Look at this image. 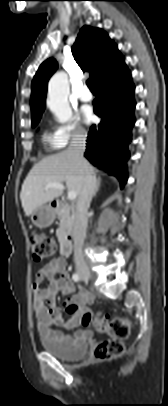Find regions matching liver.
<instances>
[{
    "mask_svg": "<svg viewBox=\"0 0 168 406\" xmlns=\"http://www.w3.org/2000/svg\"><path fill=\"white\" fill-rule=\"evenodd\" d=\"M86 161V160H85ZM93 170L91 165L86 161ZM52 182H65L67 189L77 195L82 189L81 165L68 150L43 158L36 163L23 182L20 199L25 215L62 195L63 190L45 186Z\"/></svg>",
    "mask_w": 168,
    "mask_h": 406,
    "instance_id": "1",
    "label": "liver"
}]
</instances>
